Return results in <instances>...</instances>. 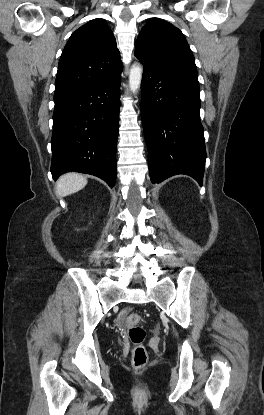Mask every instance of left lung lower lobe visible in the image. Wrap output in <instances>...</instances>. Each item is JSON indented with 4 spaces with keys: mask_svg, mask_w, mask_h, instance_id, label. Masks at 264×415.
<instances>
[{
    "mask_svg": "<svg viewBox=\"0 0 264 415\" xmlns=\"http://www.w3.org/2000/svg\"><path fill=\"white\" fill-rule=\"evenodd\" d=\"M141 93L152 183L186 174L202 185L206 149L198 79L144 67Z\"/></svg>",
    "mask_w": 264,
    "mask_h": 415,
    "instance_id": "left-lung-lower-lobe-1",
    "label": "left lung lower lobe"
}]
</instances>
